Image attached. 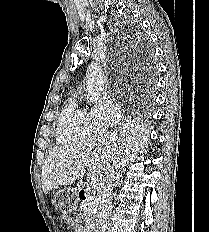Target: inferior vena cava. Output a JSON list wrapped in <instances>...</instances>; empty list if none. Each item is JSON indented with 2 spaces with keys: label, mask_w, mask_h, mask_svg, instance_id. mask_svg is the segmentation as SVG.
<instances>
[{
  "label": "inferior vena cava",
  "mask_w": 209,
  "mask_h": 232,
  "mask_svg": "<svg viewBox=\"0 0 209 232\" xmlns=\"http://www.w3.org/2000/svg\"><path fill=\"white\" fill-rule=\"evenodd\" d=\"M115 175V167L111 166L101 179L100 186L98 188L97 232H108L110 202L112 198L113 188L115 186Z\"/></svg>",
  "instance_id": "602c4592"
}]
</instances>
